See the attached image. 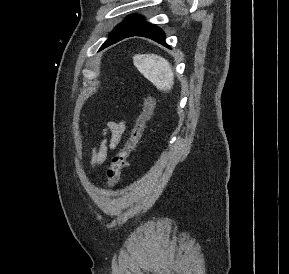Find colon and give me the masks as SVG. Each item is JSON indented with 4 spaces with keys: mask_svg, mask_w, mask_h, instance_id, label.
<instances>
[{
    "mask_svg": "<svg viewBox=\"0 0 289 274\" xmlns=\"http://www.w3.org/2000/svg\"><path fill=\"white\" fill-rule=\"evenodd\" d=\"M155 99L153 96H146L141 113L131 131V134L122 149L113 157L110 167L107 170V186L112 188L119 181L121 174L128 166V158L140 140L147 122L151 119L155 110Z\"/></svg>",
    "mask_w": 289,
    "mask_h": 274,
    "instance_id": "5ec220e1",
    "label": "colon"
}]
</instances>
